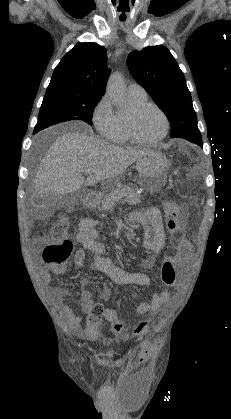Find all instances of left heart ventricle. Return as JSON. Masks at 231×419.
Returning <instances> with one entry per match:
<instances>
[{
  "mask_svg": "<svg viewBox=\"0 0 231 419\" xmlns=\"http://www.w3.org/2000/svg\"><path fill=\"white\" fill-rule=\"evenodd\" d=\"M136 129L144 139H154L162 134L165 123L161 114L154 109H147L136 118Z\"/></svg>",
  "mask_w": 231,
  "mask_h": 419,
  "instance_id": "b2bd125f",
  "label": "left heart ventricle"
}]
</instances>
